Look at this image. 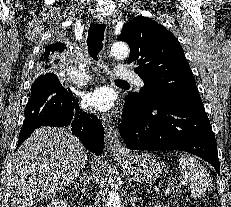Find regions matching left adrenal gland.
I'll return each mask as SVG.
<instances>
[{"instance_id":"1","label":"left adrenal gland","mask_w":231,"mask_h":207,"mask_svg":"<svg viewBox=\"0 0 231 207\" xmlns=\"http://www.w3.org/2000/svg\"><path fill=\"white\" fill-rule=\"evenodd\" d=\"M137 200H138L137 190L135 189V187H133V191L131 192V197H130V204L132 206H135Z\"/></svg>"}]
</instances>
